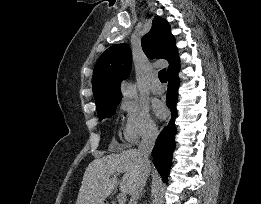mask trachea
Wrapping results in <instances>:
<instances>
[{"label":"trachea","instance_id":"1","mask_svg":"<svg viewBox=\"0 0 261 204\" xmlns=\"http://www.w3.org/2000/svg\"><path fill=\"white\" fill-rule=\"evenodd\" d=\"M158 77H159V80H160L162 83L167 82L166 69L160 70L159 73H158Z\"/></svg>","mask_w":261,"mask_h":204}]
</instances>
